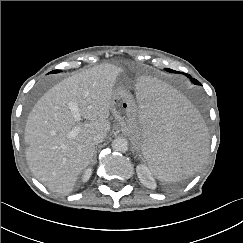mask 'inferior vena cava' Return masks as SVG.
I'll list each match as a JSON object with an SVG mask.
<instances>
[{
  "label": "inferior vena cava",
  "instance_id": "inferior-vena-cava-1",
  "mask_svg": "<svg viewBox=\"0 0 243 243\" xmlns=\"http://www.w3.org/2000/svg\"><path fill=\"white\" fill-rule=\"evenodd\" d=\"M104 138H105V136L103 134L98 133L92 137V141L94 144H98V143H101L104 140Z\"/></svg>",
  "mask_w": 243,
  "mask_h": 243
}]
</instances>
